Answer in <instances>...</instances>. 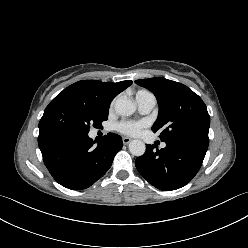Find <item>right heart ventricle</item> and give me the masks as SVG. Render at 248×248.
<instances>
[{"instance_id":"right-heart-ventricle-1","label":"right heart ventricle","mask_w":248,"mask_h":248,"mask_svg":"<svg viewBox=\"0 0 248 248\" xmlns=\"http://www.w3.org/2000/svg\"><path fill=\"white\" fill-rule=\"evenodd\" d=\"M144 94H150V92H148L147 90H139L136 93V97L140 96V95H144Z\"/></svg>"}]
</instances>
